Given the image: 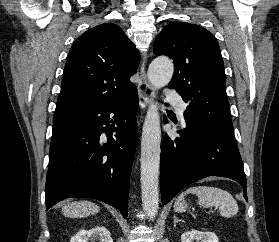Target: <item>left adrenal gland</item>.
Masks as SVG:
<instances>
[{
  "label": "left adrenal gland",
  "mask_w": 279,
  "mask_h": 242,
  "mask_svg": "<svg viewBox=\"0 0 279 242\" xmlns=\"http://www.w3.org/2000/svg\"><path fill=\"white\" fill-rule=\"evenodd\" d=\"M173 218H174V227L176 226V224H177L178 222H180V221L183 222V220L178 219L176 216H174Z\"/></svg>",
  "instance_id": "a2214340"
}]
</instances>
